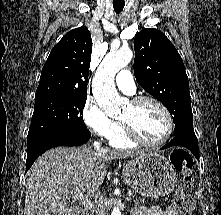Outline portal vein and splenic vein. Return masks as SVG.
Instances as JSON below:
<instances>
[{
  "mask_svg": "<svg viewBox=\"0 0 221 215\" xmlns=\"http://www.w3.org/2000/svg\"><path fill=\"white\" fill-rule=\"evenodd\" d=\"M72 199L74 200H78L79 202H81L82 204H84L85 206L92 208L93 204L91 203L90 199H88L87 197H85L82 194L76 195V196H72ZM128 200L131 199V196L127 197Z\"/></svg>",
  "mask_w": 221,
  "mask_h": 215,
  "instance_id": "1",
  "label": "portal vein and splenic vein"
}]
</instances>
